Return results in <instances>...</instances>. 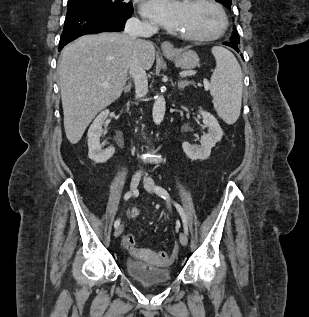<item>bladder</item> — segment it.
<instances>
[{
    "label": "bladder",
    "mask_w": 309,
    "mask_h": 317,
    "mask_svg": "<svg viewBox=\"0 0 309 317\" xmlns=\"http://www.w3.org/2000/svg\"><path fill=\"white\" fill-rule=\"evenodd\" d=\"M124 266L126 274L144 287L164 285L172 280L171 270L166 266H157L134 258H127Z\"/></svg>",
    "instance_id": "1"
}]
</instances>
